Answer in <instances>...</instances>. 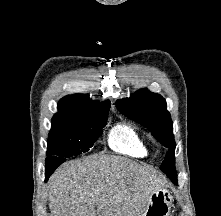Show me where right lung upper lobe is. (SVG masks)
Returning a JSON list of instances; mask_svg holds the SVG:
<instances>
[{
	"label": "right lung upper lobe",
	"instance_id": "1",
	"mask_svg": "<svg viewBox=\"0 0 221 216\" xmlns=\"http://www.w3.org/2000/svg\"><path fill=\"white\" fill-rule=\"evenodd\" d=\"M110 105L109 100L100 103L81 94L65 96L58 103V113L52 118V126L67 124L81 117L107 113Z\"/></svg>",
	"mask_w": 221,
	"mask_h": 216
}]
</instances>
